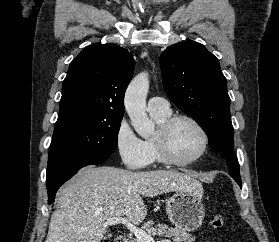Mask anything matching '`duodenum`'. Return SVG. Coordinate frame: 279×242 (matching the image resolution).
Listing matches in <instances>:
<instances>
[{
    "instance_id": "obj_1",
    "label": "duodenum",
    "mask_w": 279,
    "mask_h": 242,
    "mask_svg": "<svg viewBox=\"0 0 279 242\" xmlns=\"http://www.w3.org/2000/svg\"><path fill=\"white\" fill-rule=\"evenodd\" d=\"M115 242H128V240L126 238H124V237H117L115 239Z\"/></svg>"
}]
</instances>
